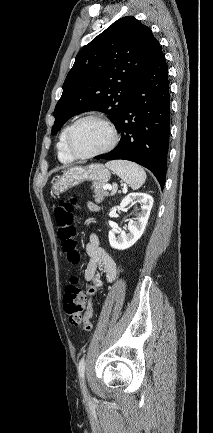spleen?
I'll use <instances>...</instances> for the list:
<instances>
[{
	"label": "spleen",
	"mask_w": 213,
	"mask_h": 433,
	"mask_svg": "<svg viewBox=\"0 0 213 433\" xmlns=\"http://www.w3.org/2000/svg\"><path fill=\"white\" fill-rule=\"evenodd\" d=\"M105 166L129 184L133 190L139 189L146 180L144 169L136 163L125 160H114L107 162Z\"/></svg>",
	"instance_id": "1"
}]
</instances>
